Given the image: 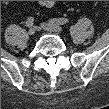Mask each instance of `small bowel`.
<instances>
[{"label":"small bowel","instance_id":"1","mask_svg":"<svg viewBox=\"0 0 109 109\" xmlns=\"http://www.w3.org/2000/svg\"><path fill=\"white\" fill-rule=\"evenodd\" d=\"M40 5L45 8H51L54 6V1H40Z\"/></svg>","mask_w":109,"mask_h":109}]
</instances>
